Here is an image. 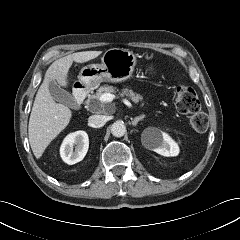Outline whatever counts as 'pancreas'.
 <instances>
[{
	"instance_id": "obj_1",
	"label": "pancreas",
	"mask_w": 240,
	"mask_h": 240,
	"mask_svg": "<svg viewBox=\"0 0 240 240\" xmlns=\"http://www.w3.org/2000/svg\"><path fill=\"white\" fill-rule=\"evenodd\" d=\"M117 92L116 88L113 86L105 85L100 87L96 94L92 95L89 99L93 101L96 107L100 108L101 111L104 110L105 105L99 102V98L104 93L115 94ZM120 96H127L129 97L134 103H138L139 101L143 100V97L140 94L134 93L133 90L130 89H123L120 93ZM143 105V104H142Z\"/></svg>"
}]
</instances>
